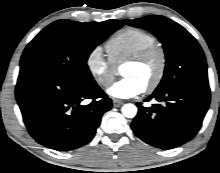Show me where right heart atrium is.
<instances>
[{
	"label": "right heart atrium",
	"mask_w": 220,
	"mask_h": 173,
	"mask_svg": "<svg viewBox=\"0 0 220 173\" xmlns=\"http://www.w3.org/2000/svg\"><path fill=\"white\" fill-rule=\"evenodd\" d=\"M86 69L101 88H107L115 76V65L106 58L100 46L92 48L85 59Z\"/></svg>",
	"instance_id": "obj_1"
}]
</instances>
